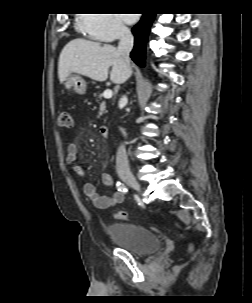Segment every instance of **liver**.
<instances>
[{
    "mask_svg": "<svg viewBox=\"0 0 252 303\" xmlns=\"http://www.w3.org/2000/svg\"><path fill=\"white\" fill-rule=\"evenodd\" d=\"M111 66L110 80L115 84L124 83L131 75V69L116 47L78 38L67 43L60 53L58 77L63 83L70 74L76 73L103 82Z\"/></svg>",
    "mask_w": 252,
    "mask_h": 303,
    "instance_id": "6515ba94",
    "label": "liver"
}]
</instances>
